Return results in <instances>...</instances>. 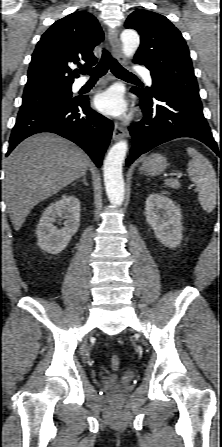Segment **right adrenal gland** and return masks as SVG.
I'll return each mask as SVG.
<instances>
[{"instance_id":"1","label":"right adrenal gland","mask_w":222,"mask_h":447,"mask_svg":"<svg viewBox=\"0 0 222 447\" xmlns=\"http://www.w3.org/2000/svg\"><path fill=\"white\" fill-rule=\"evenodd\" d=\"M79 181H82L86 186H88V183H87V181H86V174L83 175L82 179L79 180Z\"/></svg>"}]
</instances>
